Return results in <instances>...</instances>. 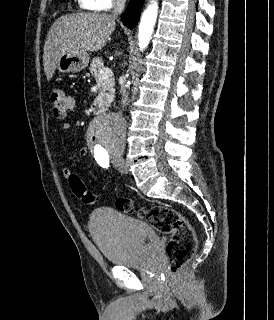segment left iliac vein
Returning a JSON list of instances; mask_svg holds the SVG:
<instances>
[{
    "label": "left iliac vein",
    "instance_id": "left-iliac-vein-1",
    "mask_svg": "<svg viewBox=\"0 0 274 320\" xmlns=\"http://www.w3.org/2000/svg\"><path fill=\"white\" fill-rule=\"evenodd\" d=\"M115 166H116L117 170H118L120 173H122V174L128 173L127 165H126V162H125L124 160L116 161V162H115Z\"/></svg>",
    "mask_w": 274,
    "mask_h": 320
}]
</instances>
